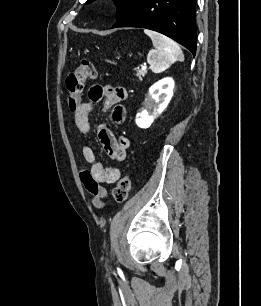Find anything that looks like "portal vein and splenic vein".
Here are the masks:
<instances>
[{
	"mask_svg": "<svg viewBox=\"0 0 261 306\" xmlns=\"http://www.w3.org/2000/svg\"><path fill=\"white\" fill-rule=\"evenodd\" d=\"M146 69H147V66H146V65L141 66V70H142V71H146Z\"/></svg>",
	"mask_w": 261,
	"mask_h": 306,
	"instance_id": "1",
	"label": "portal vein and splenic vein"
}]
</instances>
